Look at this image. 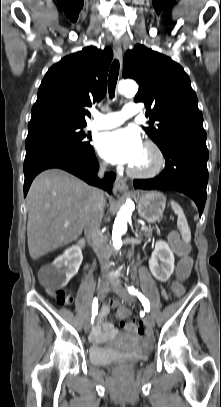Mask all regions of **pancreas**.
<instances>
[{
    "instance_id": "1",
    "label": "pancreas",
    "mask_w": 221,
    "mask_h": 407,
    "mask_svg": "<svg viewBox=\"0 0 221 407\" xmlns=\"http://www.w3.org/2000/svg\"><path fill=\"white\" fill-rule=\"evenodd\" d=\"M144 236L149 238L152 236V231L150 229L144 230Z\"/></svg>"
}]
</instances>
